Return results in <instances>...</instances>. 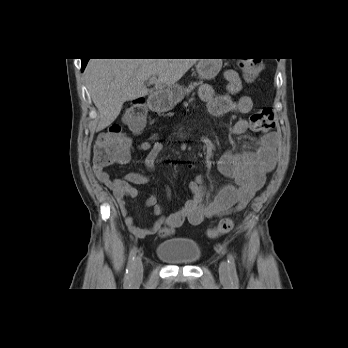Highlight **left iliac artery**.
Wrapping results in <instances>:
<instances>
[{
    "label": "left iliac artery",
    "instance_id": "obj_1",
    "mask_svg": "<svg viewBox=\"0 0 348 348\" xmlns=\"http://www.w3.org/2000/svg\"><path fill=\"white\" fill-rule=\"evenodd\" d=\"M227 261H228V267L231 275L232 282L234 284H238V278L236 274V266H235V260L232 254L227 255Z\"/></svg>",
    "mask_w": 348,
    "mask_h": 348
}]
</instances>
